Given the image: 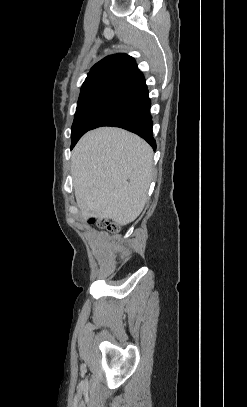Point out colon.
Here are the masks:
<instances>
[{
	"label": "colon",
	"instance_id": "colon-1",
	"mask_svg": "<svg viewBox=\"0 0 247 407\" xmlns=\"http://www.w3.org/2000/svg\"><path fill=\"white\" fill-rule=\"evenodd\" d=\"M91 222L95 223V220L92 219ZM96 224L109 233H117L119 231L118 224L112 221H97Z\"/></svg>",
	"mask_w": 247,
	"mask_h": 407
}]
</instances>
